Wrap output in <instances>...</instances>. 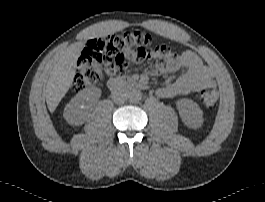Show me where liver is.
<instances>
[{
  "mask_svg": "<svg viewBox=\"0 0 265 202\" xmlns=\"http://www.w3.org/2000/svg\"><path fill=\"white\" fill-rule=\"evenodd\" d=\"M85 44L77 42L62 51L49 75L46 86V103L53 113L68 92L76 74V62Z\"/></svg>",
  "mask_w": 265,
  "mask_h": 202,
  "instance_id": "obj_1",
  "label": "liver"
}]
</instances>
